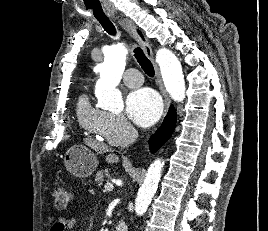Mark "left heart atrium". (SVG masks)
<instances>
[{
	"label": "left heart atrium",
	"mask_w": 268,
	"mask_h": 231,
	"mask_svg": "<svg viewBox=\"0 0 268 231\" xmlns=\"http://www.w3.org/2000/svg\"><path fill=\"white\" fill-rule=\"evenodd\" d=\"M126 113L135 124L142 127L152 126L162 114L161 99L150 88L134 90L126 98Z\"/></svg>",
	"instance_id": "1"
}]
</instances>
